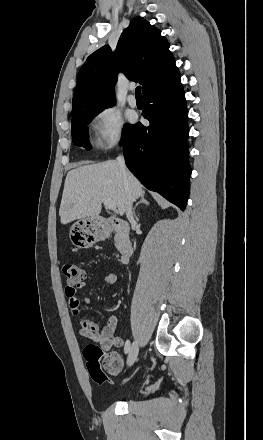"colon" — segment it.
<instances>
[{"instance_id": "colon-1", "label": "colon", "mask_w": 263, "mask_h": 440, "mask_svg": "<svg viewBox=\"0 0 263 440\" xmlns=\"http://www.w3.org/2000/svg\"><path fill=\"white\" fill-rule=\"evenodd\" d=\"M63 273L69 287H76L85 281V270L77 264H65ZM87 371L92 380L98 384L109 380L107 374L118 375L123 371L124 364L117 352L104 353L103 350L94 344L84 348Z\"/></svg>"}]
</instances>
